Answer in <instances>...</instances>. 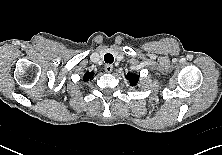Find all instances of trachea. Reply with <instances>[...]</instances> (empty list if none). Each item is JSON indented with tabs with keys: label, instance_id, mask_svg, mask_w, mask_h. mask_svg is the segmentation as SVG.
Returning a JSON list of instances; mask_svg holds the SVG:
<instances>
[{
	"label": "trachea",
	"instance_id": "trachea-1",
	"mask_svg": "<svg viewBox=\"0 0 222 155\" xmlns=\"http://www.w3.org/2000/svg\"><path fill=\"white\" fill-rule=\"evenodd\" d=\"M104 61H105L106 63H109V64L113 63V62H114V57H113V55L110 54V53L105 54V56H104Z\"/></svg>",
	"mask_w": 222,
	"mask_h": 155
}]
</instances>
